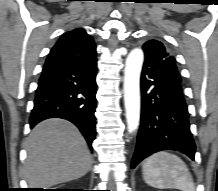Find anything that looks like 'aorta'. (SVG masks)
Instances as JSON below:
<instances>
[{
    "label": "aorta",
    "instance_id": "762f6f07",
    "mask_svg": "<svg viewBox=\"0 0 218 191\" xmlns=\"http://www.w3.org/2000/svg\"><path fill=\"white\" fill-rule=\"evenodd\" d=\"M144 53L133 49L126 58L124 70V104L128 131L135 132L140 122V74Z\"/></svg>",
    "mask_w": 218,
    "mask_h": 191
}]
</instances>
